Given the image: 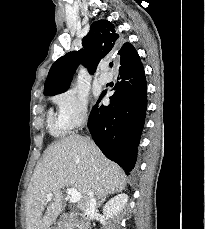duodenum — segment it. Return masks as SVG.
<instances>
[{
  "instance_id": "duodenum-1",
  "label": "duodenum",
  "mask_w": 205,
  "mask_h": 229,
  "mask_svg": "<svg viewBox=\"0 0 205 229\" xmlns=\"http://www.w3.org/2000/svg\"><path fill=\"white\" fill-rule=\"evenodd\" d=\"M65 220H71V221H73V222L79 223V221L76 219L75 216L66 217Z\"/></svg>"
}]
</instances>
